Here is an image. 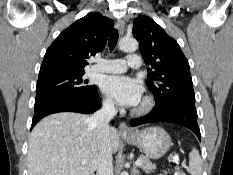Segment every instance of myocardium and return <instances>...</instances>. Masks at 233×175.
Segmentation results:
<instances>
[{"label": "myocardium", "mask_w": 233, "mask_h": 175, "mask_svg": "<svg viewBox=\"0 0 233 175\" xmlns=\"http://www.w3.org/2000/svg\"><path fill=\"white\" fill-rule=\"evenodd\" d=\"M153 105H154L153 99L147 96L142 100L140 105L136 109H134V113L136 114L146 113L152 109Z\"/></svg>", "instance_id": "obj_1"}]
</instances>
